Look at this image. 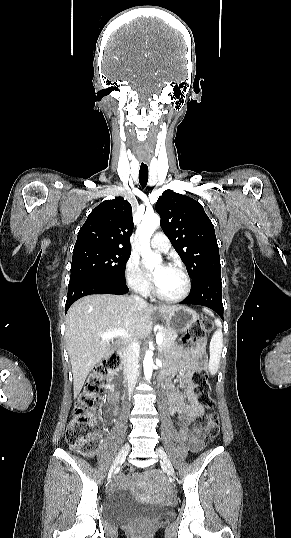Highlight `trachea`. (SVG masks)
<instances>
[{
  "label": "trachea",
  "instance_id": "3493384b",
  "mask_svg": "<svg viewBox=\"0 0 291 538\" xmlns=\"http://www.w3.org/2000/svg\"><path fill=\"white\" fill-rule=\"evenodd\" d=\"M148 182V166L145 164H141L140 170H139V183L144 188L146 187Z\"/></svg>",
  "mask_w": 291,
  "mask_h": 538
}]
</instances>
